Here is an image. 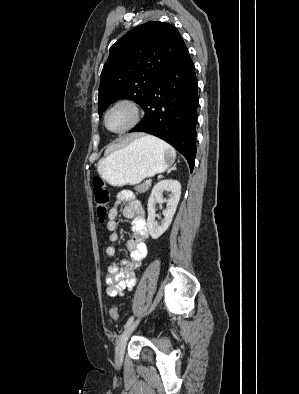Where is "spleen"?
I'll return each instance as SVG.
<instances>
[{"instance_id":"1","label":"spleen","mask_w":299,"mask_h":394,"mask_svg":"<svg viewBox=\"0 0 299 394\" xmlns=\"http://www.w3.org/2000/svg\"><path fill=\"white\" fill-rule=\"evenodd\" d=\"M153 138H154V137H153ZM154 140H155L157 143L163 145L166 149L170 150V151L175 155L174 149H173L172 147H170L168 144H166L165 142H163V141H161V140H159V139H156V138H154Z\"/></svg>"}]
</instances>
